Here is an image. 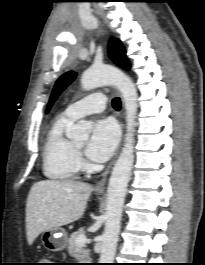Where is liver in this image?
<instances>
[{"label": "liver", "instance_id": "1", "mask_svg": "<svg viewBox=\"0 0 205 265\" xmlns=\"http://www.w3.org/2000/svg\"><path fill=\"white\" fill-rule=\"evenodd\" d=\"M93 187L83 182L43 180L33 184L26 203L27 241L77 221L84 214Z\"/></svg>", "mask_w": 205, "mask_h": 265}]
</instances>
